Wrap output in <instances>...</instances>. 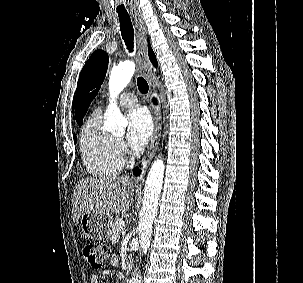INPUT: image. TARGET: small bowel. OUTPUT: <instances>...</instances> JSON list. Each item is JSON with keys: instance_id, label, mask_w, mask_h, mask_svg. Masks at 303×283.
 <instances>
[{"instance_id": "c3829d8e", "label": "small bowel", "mask_w": 303, "mask_h": 283, "mask_svg": "<svg viewBox=\"0 0 303 283\" xmlns=\"http://www.w3.org/2000/svg\"><path fill=\"white\" fill-rule=\"evenodd\" d=\"M117 262V257L113 256L111 259V263L115 264ZM90 283H99V278L96 274L90 276Z\"/></svg>"}]
</instances>
